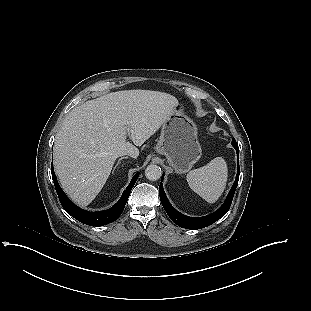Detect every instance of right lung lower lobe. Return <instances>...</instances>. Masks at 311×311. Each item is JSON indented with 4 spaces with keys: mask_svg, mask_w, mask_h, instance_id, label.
I'll list each match as a JSON object with an SVG mask.
<instances>
[{
    "mask_svg": "<svg viewBox=\"0 0 311 311\" xmlns=\"http://www.w3.org/2000/svg\"><path fill=\"white\" fill-rule=\"evenodd\" d=\"M51 173H52V179L54 181L55 189L58 194L62 207L65 209V211L69 215H71L78 221L86 225H90V226H102V225L109 224L115 221L121 215L125 207V204L129 198L131 189L134 186L139 175L138 173L134 175L130 184L127 186L126 190H124L120 200L110 209L99 211V212H88L77 207L75 204H73L68 199V197L65 195V193L62 191L61 187L59 186L57 182L56 176L54 174L53 164L51 167Z\"/></svg>",
    "mask_w": 311,
    "mask_h": 311,
    "instance_id": "98d812e1",
    "label": "right lung lower lobe"
}]
</instances>
